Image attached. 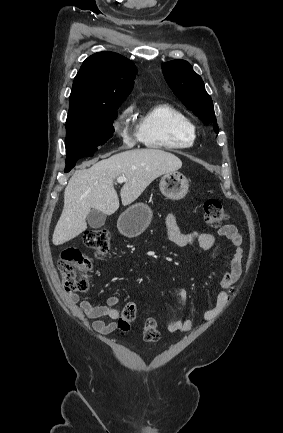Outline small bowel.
<instances>
[{"label":"small bowel","instance_id":"c3829d8e","mask_svg":"<svg viewBox=\"0 0 283 433\" xmlns=\"http://www.w3.org/2000/svg\"><path fill=\"white\" fill-rule=\"evenodd\" d=\"M165 225L169 240L176 246L185 247L197 244L203 250H210L216 244V237L213 234L198 230L182 232L173 214L167 215ZM219 236L230 241L234 250L229 259L228 270L220 281L221 291L217 295L216 304L204 313L206 321L214 320L228 306L232 291L242 272V237L236 226L232 224L224 225L219 230ZM69 303L74 307L75 311L92 320V328L96 332L107 335L115 331L117 327L115 321L119 318V311L116 308L120 303L118 296L112 295L108 297L104 305H94L87 300H81L79 295L74 293L69 296ZM192 327L193 322L190 319L178 318L167 325V330L171 333L188 332Z\"/></svg>","mask_w":283,"mask_h":433}]
</instances>
